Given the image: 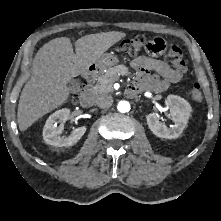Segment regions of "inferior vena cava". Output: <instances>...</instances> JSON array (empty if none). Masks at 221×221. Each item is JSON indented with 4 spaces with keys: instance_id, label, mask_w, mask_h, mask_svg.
Masks as SVG:
<instances>
[{
    "instance_id": "inferior-vena-cava-1",
    "label": "inferior vena cava",
    "mask_w": 221,
    "mask_h": 221,
    "mask_svg": "<svg viewBox=\"0 0 221 221\" xmlns=\"http://www.w3.org/2000/svg\"><path fill=\"white\" fill-rule=\"evenodd\" d=\"M95 103L101 108H109L113 104V98L108 94H101L96 97Z\"/></svg>"
}]
</instances>
